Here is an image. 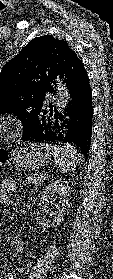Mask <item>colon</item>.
<instances>
[{
    "label": "colon",
    "mask_w": 113,
    "mask_h": 279,
    "mask_svg": "<svg viewBox=\"0 0 113 279\" xmlns=\"http://www.w3.org/2000/svg\"><path fill=\"white\" fill-rule=\"evenodd\" d=\"M6 152L0 149V163L6 159Z\"/></svg>",
    "instance_id": "5ec220e1"
}]
</instances>
